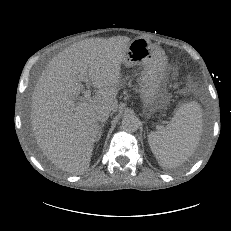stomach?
<instances>
[{
	"mask_svg": "<svg viewBox=\"0 0 231 231\" xmlns=\"http://www.w3.org/2000/svg\"><path fill=\"white\" fill-rule=\"evenodd\" d=\"M123 64L143 67L139 79L140 98L146 112H155L164 100L168 81L165 51L150 40L137 37L128 44Z\"/></svg>",
	"mask_w": 231,
	"mask_h": 231,
	"instance_id": "1",
	"label": "stomach"
}]
</instances>
